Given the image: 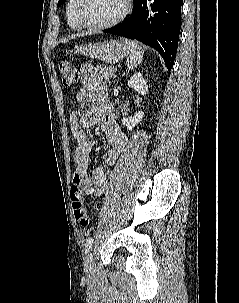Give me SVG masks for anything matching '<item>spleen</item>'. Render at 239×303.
Instances as JSON below:
<instances>
[{
    "label": "spleen",
    "mask_w": 239,
    "mask_h": 303,
    "mask_svg": "<svg viewBox=\"0 0 239 303\" xmlns=\"http://www.w3.org/2000/svg\"><path fill=\"white\" fill-rule=\"evenodd\" d=\"M122 43H124L129 56L127 57V67L129 69H133L137 67L143 58L144 51L142 47L136 42L128 39H121Z\"/></svg>",
    "instance_id": "obj_1"
}]
</instances>
